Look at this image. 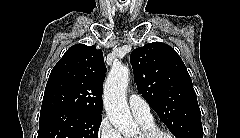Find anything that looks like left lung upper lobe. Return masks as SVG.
Listing matches in <instances>:
<instances>
[{
  "label": "left lung upper lobe",
  "mask_w": 240,
  "mask_h": 138,
  "mask_svg": "<svg viewBox=\"0 0 240 138\" xmlns=\"http://www.w3.org/2000/svg\"><path fill=\"white\" fill-rule=\"evenodd\" d=\"M137 89L176 138H203L201 112L186 66L169 45L153 42L132 51Z\"/></svg>",
  "instance_id": "obj_1"
}]
</instances>
